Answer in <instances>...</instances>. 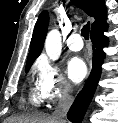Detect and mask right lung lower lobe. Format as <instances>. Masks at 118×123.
<instances>
[{
  "label": "right lung lower lobe",
  "instance_id": "1",
  "mask_svg": "<svg viewBox=\"0 0 118 123\" xmlns=\"http://www.w3.org/2000/svg\"><path fill=\"white\" fill-rule=\"evenodd\" d=\"M105 30L91 35V41L93 43V67L92 72L82 89V91L76 97L73 105L71 106L67 117L72 123H81L86 109L89 106L96 86L98 84L101 75V65L105 58L103 48L108 44V38L103 34Z\"/></svg>",
  "mask_w": 118,
  "mask_h": 123
}]
</instances>
